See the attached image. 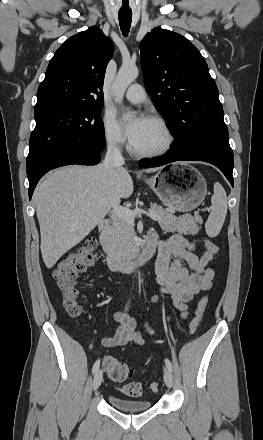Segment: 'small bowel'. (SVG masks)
Listing matches in <instances>:
<instances>
[{
	"label": "small bowel",
	"mask_w": 263,
	"mask_h": 440,
	"mask_svg": "<svg viewBox=\"0 0 263 440\" xmlns=\"http://www.w3.org/2000/svg\"><path fill=\"white\" fill-rule=\"evenodd\" d=\"M147 238H152L158 245L155 264L157 282L162 292L169 295L173 301V312L164 322L168 324L177 314L185 318L194 296L211 288L215 273L208 264L213 255L205 252L198 256L194 245L180 235L160 239L157 233L152 232ZM157 300L158 297L153 296L151 301L155 303ZM113 318L119 323V327L113 336L102 340L103 346H124L131 343L143 345L141 334L135 330L136 321L133 317L118 311L114 313ZM143 328L149 335H155V330L148 322H143Z\"/></svg>",
	"instance_id": "obj_1"
}]
</instances>
